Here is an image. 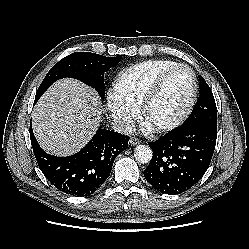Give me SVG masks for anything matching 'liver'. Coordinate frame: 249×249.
Instances as JSON below:
<instances>
[{"mask_svg":"<svg viewBox=\"0 0 249 249\" xmlns=\"http://www.w3.org/2000/svg\"><path fill=\"white\" fill-rule=\"evenodd\" d=\"M98 96L77 80L57 81L32 113V127L40 146L58 156L79 151L100 122Z\"/></svg>","mask_w":249,"mask_h":249,"instance_id":"1","label":"liver"}]
</instances>
